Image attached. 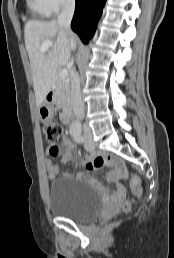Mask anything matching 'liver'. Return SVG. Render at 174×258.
<instances>
[{"instance_id":"liver-1","label":"liver","mask_w":174,"mask_h":258,"mask_svg":"<svg viewBox=\"0 0 174 258\" xmlns=\"http://www.w3.org/2000/svg\"><path fill=\"white\" fill-rule=\"evenodd\" d=\"M26 50L30 60L36 105L39 108L53 89L57 80V69L70 60L71 40L76 38L67 33L56 21H28L24 28ZM53 46L41 52L44 41Z\"/></svg>"}]
</instances>
